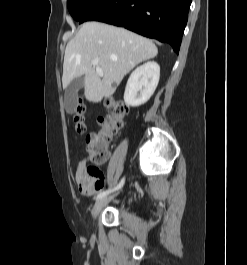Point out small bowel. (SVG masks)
I'll list each match as a JSON object with an SVG mask.
<instances>
[{
    "instance_id": "1",
    "label": "small bowel",
    "mask_w": 247,
    "mask_h": 265,
    "mask_svg": "<svg viewBox=\"0 0 247 265\" xmlns=\"http://www.w3.org/2000/svg\"><path fill=\"white\" fill-rule=\"evenodd\" d=\"M75 183L81 194L93 196L102 190L104 177L103 175L98 177L90 176L85 170L84 161H81L75 173Z\"/></svg>"
}]
</instances>
